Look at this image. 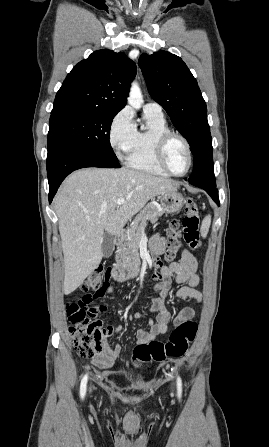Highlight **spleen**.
Returning a JSON list of instances; mask_svg holds the SVG:
<instances>
[{"mask_svg": "<svg viewBox=\"0 0 269 447\" xmlns=\"http://www.w3.org/2000/svg\"><path fill=\"white\" fill-rule=\"evenodd\" d=\"M210 225H211V216H205L204 220H202V224L200 227V233L202 237H207Z\"/></svg>", "mask_w": 269, "mask_h": 447, "instance_id": "spleen-1", "label": "spleen"}]
</instances>
